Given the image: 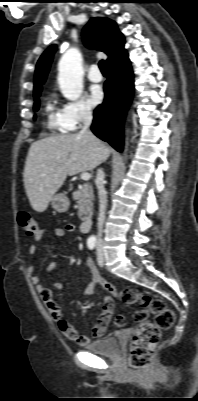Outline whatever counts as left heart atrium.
Instances as JSON below:
<instances>
[{
    "label": "left heart atrium",
    "mask_w": 198,
    "mask_h": 401,
    "mask_svg": "<svg viewBox=\"0 0 198 401\" xmlns=\"http://www.w3.org/2000/svg\"><path fill=\"white\" fill-rule=\"evenodd\" d=\"M104 100V91L101 86H92L88 94V101L92 106L101 104Z\"/></svg>",
    "instance_id": "left-heart-atrium-1"
}]
</instances>
